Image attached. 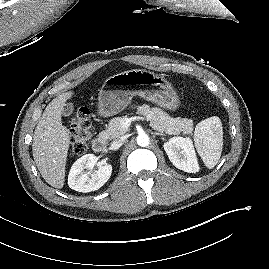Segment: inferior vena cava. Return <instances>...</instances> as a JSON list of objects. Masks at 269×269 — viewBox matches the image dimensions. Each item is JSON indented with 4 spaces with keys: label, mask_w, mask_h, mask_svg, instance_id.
Instances as JSON below:
<instances>
[{
    "label": "inferior vena cava",
    "mask_w": 269,
    "mask_h": 269,
    "mask_svg": "<svg viewBox=\"0 0 269 269\" xmlns=\"http://www.w3.org/2000/svg\"><path fill=\"white\" fill-rule=\"evenodd\" d=\"M123 141L124 140L122 138L116 139L115 141L111 143V149L116 150L120 148L123 144Z\"/></svg>",
    "instance_id": "obj_1"
}]
</instances>
